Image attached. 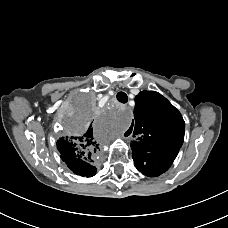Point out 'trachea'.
<instances>
[{
  "label": "trachea",
  "instance_id": "3493384b",
  "mask_svg": "<svg viewBox=\"0 0 228 228\" xmlns=\"http://www.w3.org/2000/svg\"><path fill=\"white\" fill-rule=\"evenodd\" d=\"M117 100L121 103H127L128 96L125 92H118L117 94Z\"/></svg>",
  "mask_w": 228,
  "mask_h": 228
}]
</instances>
